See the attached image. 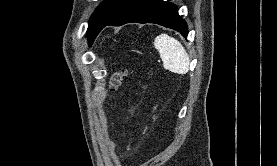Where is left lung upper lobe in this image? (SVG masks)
<instances>
[{"mask_svg":"<svg viewBox=\"0 0 277 166\" xmlns=\"http://www.w3.org/2000/svg\"><path fill=\"white\" fill-rule=\"evenodd\" d=\"M135 0H104L91 16L87 29L89 45L93 43L96 36L104 28L105 24L114 16L128 7Z\"/></svg>","mask_w":277,"mask_h":166,"instance_id":"1","label":"left lung upper lobe"}]
</instances>
